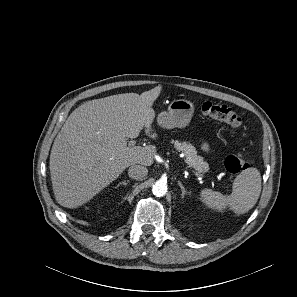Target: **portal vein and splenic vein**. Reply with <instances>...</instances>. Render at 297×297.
I'll return each mask as SVG.
<instances>
[{"mask_svg":"<svg viewBox=\"0 0 297 297\" xmlns=\"http://www.w3.org/2000/svg\"><path fill=\"white\" fill-rule=\"evenodd\" d=\"M136 144V142L135 141H130L129 143H128V145L130 146V147H132V146H134ZM196 176H198V177H203L204 175L203 174H201V172H193Z\"/></svg>","mask_w":297,"mask_h":297,"instance_id":"18ae733b","label":"portal vein and splenic vein"}]
</instances>
